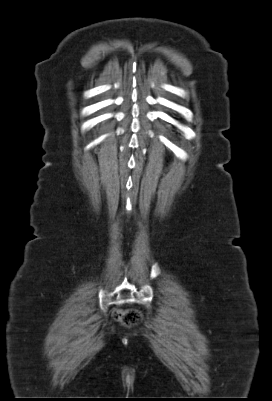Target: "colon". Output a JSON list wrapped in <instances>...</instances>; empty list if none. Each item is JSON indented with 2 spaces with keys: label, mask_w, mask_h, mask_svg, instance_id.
<instances>
[{
  "label": "colon",
  "mask_w": 272,
  "mask_h": 401,
  "mask_svg": "<svg viewBox=\"0 0 272 401\" xmlns=\"http://www.w3.org/2000/svg\"><path fill=\"white\" fill-rule=\"evenodd\" d=\"M114 317L125 326H134L140 320L139 312L134 309L117 310Z\"/></svg>",
  "instance_id": "5ec220e1"
}]
</instances>
